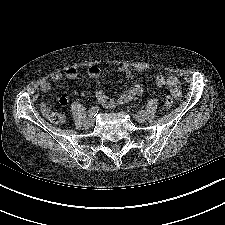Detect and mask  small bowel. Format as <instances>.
Wrapping results in <instances>:
<instances>
[{
  "mask_svg": "<svg viewBox=\"0 0 225 225\" xmlns=\"http://www.w3.org/2000/svg\"><path fill=\"white\" fill-rule=\"evenodd\" d=\"M119 72L124 73L126 78L132 80L134 78V72L131 70L127 65H121L118 68ZM137 71H141L142 68H136ZM101 74V70L98 66L92 65L88 68L87 75L90 79H97ZM78 75L77 70L74 67H68L63 72L62 71H55L53 72L49 78L41 81L40 83V90L42 92L50 91L52 84L57 83L63 78L67 79H75ZM155 82L160 87H168L170 92L175 98L181 97V86L179 80L173 75H157L155 77ZM143 93V89L139 84H133L127 90L122 92L117 100L112 99L109 97L104 91L98 90L96 92L97 100L106 108H114L117 104H126L129 103L136 98L140 97ZM61 106H65L68 102L66 97H60L58 100ZM41 110L48 114L51 109L47 103H41Z\"/></svg>",
  "mask_w": 225,
  "mask_h": 225,
  "instance_id": "small-bowel-1",
  "label": "small bowel"
}]
</instances>
